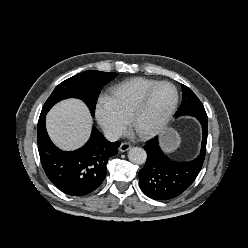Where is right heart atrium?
I'll use <instances>...</instances> for the list:
<instances>
[{
  "instance_id": "d8ad5b80",
  "label": "right heart atrium",
  "mask_w": 248,
  "mask_h": 248,
  "mask_svg": "<svg viewBox=\"0 0 248 248\" xmlns=\"http://www.w3.org/2000/svg\"><path fill=\"white\" fill-rule=\"evenodd\" d=\"M94 113L97 123L108 137L116 139L125 132L128 119L120 113L109 95H99Z\"/></svg>"
}]
</instances>
